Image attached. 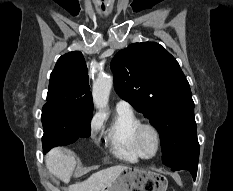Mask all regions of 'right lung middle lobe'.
<instances>
[{
	"mask_svg": "<svg viewBox=\"0 0 233 191\" xmlns=\"http://www.w3.org/2000/svg\"><path fill=\"white\" fill-rule=\"evenodd\" d=\"M92 110L77 111L56 105H44L42 109L43 151L47 152L55 146L75 142L79 137L90 136Z\"/></svg>",
	"mask_w": 233,
	"mask_h": 191,
	"instance_id": "1",
	"label": "right lung middle lobe"
}]
</instances>
